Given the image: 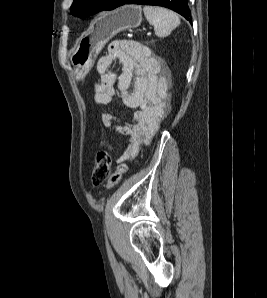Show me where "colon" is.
<instances>
[{
    "mask_svg": "<svg viewBox=\"0 0 267 298\" xmlns=\"http://www.w3.org/2000/svg\"><path fill=\"white\" fill-rule=\"evenodd\" d=\"M111 169V157L109 153V146L103 143L102 148L97 152L93 170H92V184L100 186L106 181V188L111 189L116 186L121 180L122 176L127 172L128 166L125 163L120 164L116 171L109 177Z\"/></svg>",
    "mask_w": 267,
    "mask_h": 298,
    "instance_id": "obj_1",
    "label": "colon"
}]
</instances>
